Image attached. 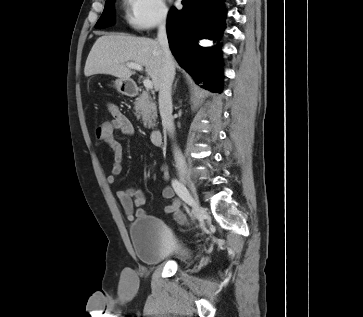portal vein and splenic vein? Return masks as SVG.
<instances>
[{
	"instance_id": "portal-vein-and-splenic-vein-1",
	"label": "portal vein and splenic vein",
	"mask_w": 363,
	"mask_h": 317,
	"mask_svg": "<svg viewBox=\"0 0 363 317\" xmlns=\"http://www.w3.org/2000/svg\"><path fill=\"white\" fill-rule=\"evenodd\" d=\"M126 66L130 69H135L137 71H142L143 70V67L139 64H136V63H127ZM143 84L145 86L146 89H152L153 88V83L151 80L149 79H145L143 81Z\"/></svg>"
}]
</instances>
